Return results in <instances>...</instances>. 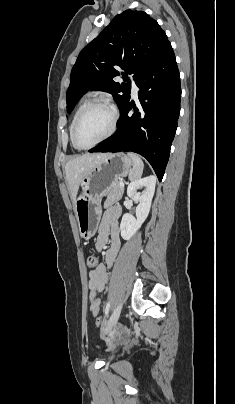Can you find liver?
Returning a JSON list of instances; mask_svg holds the SVG:
<instances>
[{
	"instance_id": "1",
	"label": "liver",
	"mask_w": 235,
	"mask_h": 404,
	"mask_svg": "<svg viewBox=\"0 0 235 404\" xmlns=\"http://www.w3.org/2000/svg\"><path fill=\"white\" fill-rule=\"evenodd\" d=\"M108 154H84L69 160L65 166L66 180L71 192L73 203L79 190L82 179L98 165Z\"/></svg>"
}]
</instances>
